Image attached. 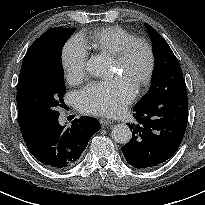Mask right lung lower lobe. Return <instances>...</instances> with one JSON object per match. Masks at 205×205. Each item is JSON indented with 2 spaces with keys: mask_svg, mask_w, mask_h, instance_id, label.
I'll return each mask as SVG.
<instances>
[{
  "mask_svg": "<svg viewBox=\"0 0 205 205\" xmlns=\"http://www.w3.org/2000/svg\"><path fill=\"white\" fill-rule=\"evenodd\" d=\"M58 118L56 115L38 125L24 141L38 161L50 168L64 169L80 159L100 125L94 118L80 117L65 128L58 123Z\"/></svg>",
  "mask_w": 205,
  "mask_h": 205,
  "instance_id": "98d812e1",
  "label": "right lung lower lobe"
}]
</instances>
